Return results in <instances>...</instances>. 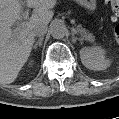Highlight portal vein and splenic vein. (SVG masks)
<instances>
[{"label": "portal vein and splenic vein", "mask_w": 119, "mask_h": 119, "mask_svg": "<svg viewBox=\"0 0 119 119\" xmlns=\"http://www.w3.org/2000/svg\"><path fill=\"white\" fill-rule=\"evenodd\" d=\"M28 16H29V10H26V11L24 12V14H23V18H24V19H27ZM19 31H20V27H17L14 32L17 33V32H19ZM74 32L77 33L76 30H75Z\"/></svg>", "instance_id": "1"}]
</instances>
